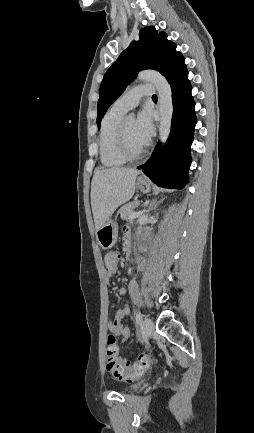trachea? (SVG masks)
<instances>
[{
	"label": "trachea",
	"mask_w": 254,
	"mask_h": 433,
	"mask_svg": "<svg viewBox=\"0 0 254 433\" xmlns=\"http://www.w3.org/2000/svg\"><path fill=\"white\" fill-rule=\"evenodd\" d=\"M152 99H153V100H157V95L154 94V95L152 96Z\"/></svg>",
	"instance_id": "1"
}]
</instances>
